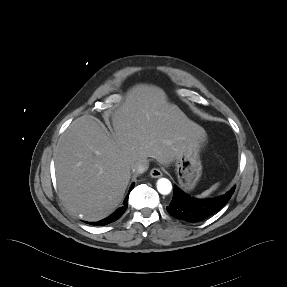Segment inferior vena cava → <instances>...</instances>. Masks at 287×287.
<instances>
[{
    "mask_svg": "<svg viewBox=\"0 0 287 287\" xmlns=\"http://www.w3.org/2000/svg\"><path fill=\"white\" fill-rule=\"evenodd\" d=\"M148 161L146 159L132 165V171L135 174H142L148 169Z\"/></svg>",
    "mask_w": 287,
    "mask_h": 287,
    "instance_id": "602c4592",
    "label": "inferior vena cava"
}]
</instances>
